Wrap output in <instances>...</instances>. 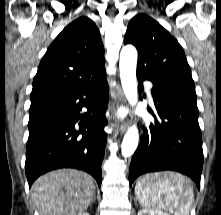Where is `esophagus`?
I'll return each instance as SVG.
<instances>
[{"label":"esophagus","mask_w":221,"mask_h":215,"mask_svg":"<svg viewBox=\"0 0 221 215\" xmlns=\"http://www.w3.org/2000/svg\"><path fill=\"white\" fill-rule=\"evenodd\" d=\"M114 98L118 104L123 105L125 103L124 94H123V91L120 86L117 87ZM115 126L118 130H120L121 132H124L128 127V121L127 120H118L115 123Z\"/></svg>","instance_id":"34e87169"}]
</instances>
